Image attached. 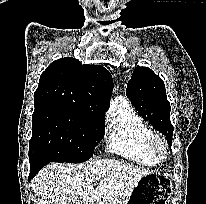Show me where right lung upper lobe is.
<instances>
[{
    "instance_id": "cb5924a9",
    "label": "right lung upper lobe",
    "mask_w": 206,
    "mask_h": 204,
    "mask_svg": "<svg viewBox=\"0 0 206 204\" xmlns=\"http://www.w3.org/2000/svg\"><path fill=\"white\" fill-rule=\"evenodd\" d=\"M113 79L99 65H83L72 57L51 63L42 73L34 104H58L104 115L110 105Z\"/></svg>"
}]
</instances>
